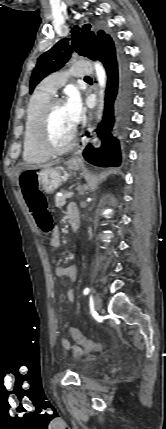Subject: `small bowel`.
I'll list each match as a JSON object with an SVG mask.
<instances>
[{"label": "small bowel", "mask_w": 166, "mask_h": 429, "mask_svg": "<svg viewBox=\"0 0 166 429\" xmlns=\"http://www.w3.org/2000/svg\"><path fill=\"white\" fill-rule=\"evenodd\" d=\"M72 211H77V208L74 205H71L68 208V214ZM50 246L52 248H58L60 246V238L57 229L54 230L53 235L50 239ZM54 273L56 276L61 278H68L71 282H75L78 277V268L76 265H70L67 267L57 266L54 269ZM67 298L70 302L74 301V293L71 289L67 291ZM61 345L65 348L72 349L75 354H80L82 352L81 348L72 346L70 342L66 339H61Z\"/></svg>", "instance_id": "small-bowel-1"}]
</instances>
